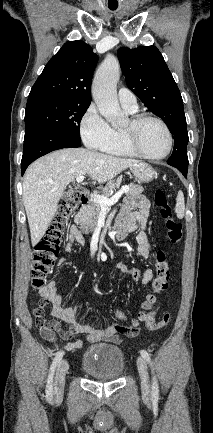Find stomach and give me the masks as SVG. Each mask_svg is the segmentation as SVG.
Here are the masks:
<instances>
[{"instance_id":"1","label":"stomach","mask_w":213,"mask_h":433,"mask_svg":"<svg viewBox=\"0 0 213 433\" xmlns=\"http://www.w3.org/2000/svg\"><path fill=\"white\" fill-rule=\"evenodd\" d=\"M132 174L135 178L144 183L151 182L155 177V170L146 163H137L130 167Z\"/></svg>"}]
</instances>
